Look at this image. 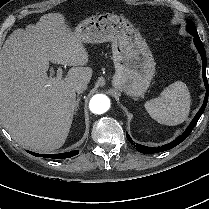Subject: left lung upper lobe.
Returning a JSON list of instances; mask_svg holds the SVG:
<instances>
[{"mask_svg": "<svg viewBox=\"0 0 209 209\" xmlns=\"http://www.w3.org/2000/svg\"><path fill=\"white\" fill-rule=\"evenodd\" d=\"M186 30L192 36L198 35V32L196 30V27H195L194 23L191 20H187Z\"/></svg>", "mask_w": 209, "mask_h": 209, "instance_id": "obj_1", "label": "left lung upper lobe"}]
</instances>
